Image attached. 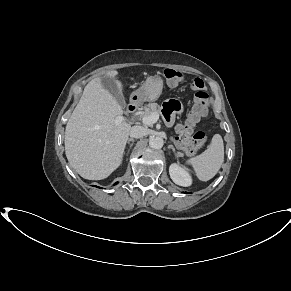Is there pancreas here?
<instances>
[{
  "instance_id": "1",
  "label": "pancreas",
  "mask_w": 291,
  "mask_h": 291,
  "mask_svg": "<svg viewBox=\"0 0 291 291\" xmlns=\"http://www.w3.org/2000/svg\"><path fill=\"white\" fill-rule=\"evenodd\" d=\"M160 106L157 103H149L148 105H146L144 107V111L140 114V116L143 117H147L149 115H151L152 113L156 112V113H160ZM195 152L191 153V155H194Z\"/></svg>"
}]
</instances>
